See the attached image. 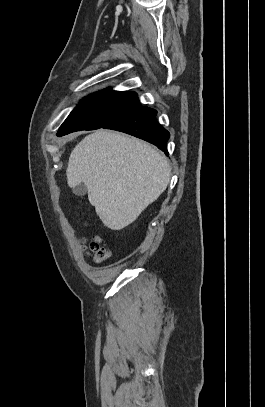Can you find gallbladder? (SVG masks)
Returning a JSON list of instances; mask_svg holds the SVG:
<instances>
[{
  "mask_svg": "<svg viewBox=\"0 0 265 407\" xmlns=\"http://www.w3.org/2000/svg\"><path fill=\"white\" fill-rule=\"evenodd\" d=\"M86 192H87V187L83 183L78 184L77 186L73 187V193L76 196H84L86 194Z\"/></svg>",
  "mask_w": 265,
  "mask_h": 407,
  "instance_id": "1",
  "label": "gallbladder"
}]
</instances>
